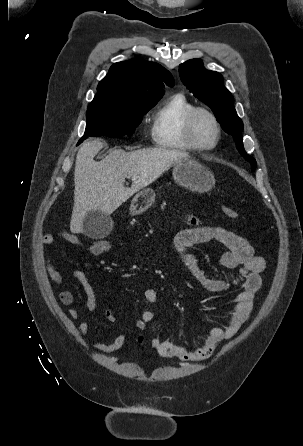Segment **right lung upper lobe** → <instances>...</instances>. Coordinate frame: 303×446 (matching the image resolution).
<instances>
[{"label":"right lung upper lobe","instance_id":"cb5924a9","mask_svg":"<svg viewBox=\"0 0 303 446\" xmlns=\"http://www.w3.org/2000/svg\"><path fill=\"white\" fill-rule=\"evenodd\" d=\"M164 85L172 87L174 80L160 64L141 59L118 62L99 82L97 94L88 108L151 107L163 96Z\"/></svg>","mask_w":303,"mask_h":446}]
</instances>
